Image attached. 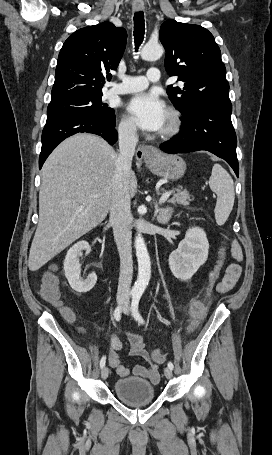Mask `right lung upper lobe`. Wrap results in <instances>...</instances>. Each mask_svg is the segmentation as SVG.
<instances>
[{"label": "right lung upper lobe", "mask_w": 272, "mask_h": 455, "mask_svg": "<svg viewBox=\"0 0 272 455\" xmlns=\"http://www.w3.org/2000/svg\"><path fill=\"white\" fill-rule=\"evenodd\" d=\"M127 33L110 22L75 31L63 44L57 61L51 101L102 94L110 70L118 67Z\"/></svg>", "instance_id": "cb5924a9"}]
</instances>
